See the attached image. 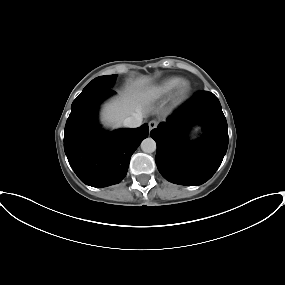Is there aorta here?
<instances>
[{
    "label": "aorta",
    "mask_w": 285,
    "mask_h": 285,
    "mask_svg": "<svg viewBox=\"0 0 285 285\" xmlns=\"http://www.w3.org/2000/svg\"><path fill=\"white\" fill-rule=\"evenodd\" d=\"M141 149L145 153H152L156 150V142L151 137H148L142 141Z\"/></svg>",
    "instance_id": "obj_1"
}]
</instances>
